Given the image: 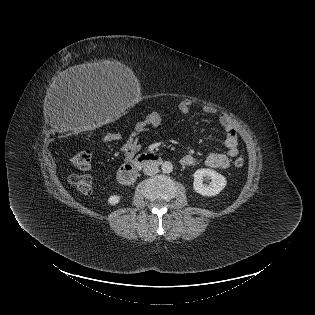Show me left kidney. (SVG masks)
I'll use <instances>...</instances> for the list:
<instances>
[{
  "mask_svg": "<svg viewBox=\"0 0 315 315\" xmlns=\"http://www.w3.org/2000/svg\"><path fill=\"white\" fill-rule=\"evenodd\" d=\"M204 179H211V182L203 184ZM226 186V179L223 175L212 169H198L194 173V190L203 196H215Z\"/></svg>",
  "mask_w": 315,
  "mask_h": 315,
  "instance_id": "left-kidney-1",
  "label": "left kidney"
}]
</instances>
